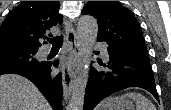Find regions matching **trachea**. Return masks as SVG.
<instances>
[{
    "mask_svg": "<svg viewBox=\"0 0 171 110\" xmlns=\"http://www.w3.org/2000/svg\"><path fill=\"white\" fill-rule=\"evenodd\" d=\"M52 44V49H60L63 44V36H57L47 39Z\"/></svg>",
    "mask_w": 171,
    "mask_h": 110,
    "instance_id": "trachea-1",
    "label": "trachea"
}]
</instances>
